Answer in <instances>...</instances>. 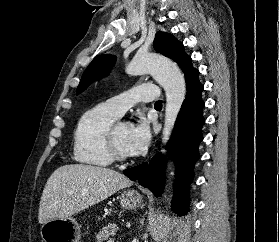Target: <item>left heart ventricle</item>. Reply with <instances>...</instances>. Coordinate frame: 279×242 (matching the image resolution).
I'll list each match as a JSON object with an SVG mask.
<instances>
[{"label":"left heart ventricle","instance_id":"1","mask_svg":"<svg viewBox=\"0 0 279 242\" xmlns=\"http://www.w3.org/2000/svg\"><path fill=\"white\" fill-rule=\"evenodd\" d=\"M130 126L128 124H121L116 130V143L120 151L129 156L127 150V141L129 137Z\"/></svg>","mask_w":279,"mask_h":242}]
</instances>
